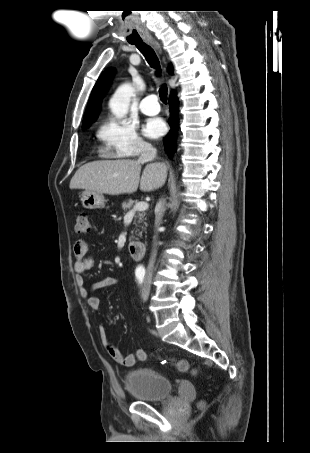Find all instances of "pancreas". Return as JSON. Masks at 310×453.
Listing matches in <instances>:
<instances>
[{
  "mask_svg": "<svg viewBox=\"0 0 310 453\" xmlns=\"http://www.w3.org/2000/svg\"><path fill=\"white\" fill-rule=\"evenodd\" d=\"M136 203H137V201H134V200H132V199L128 200L127 202H123V203H122V209H123V211L126 212V211L130 210V209L134 206V204H136ZM145 216H146V213H145V212H138L137 215L135 216L136 219H135V221H134V224H135L137 227H138L139 224H141V223H144V224L146 225V223H145V220H146ZM142 229H144V227H142ZM136 232H139L138 235H139V236H142V231H139V229H137ZM136 232H135V233H136ZM133 234H134V232L132 231V236L130 237V239L134 238Z\"/></svg>",
  "mask_w": 310,
  "mask_h": 453,
  "instance_id": "pancreas-1",
  "label": "pancreas"
}]
</instances>
